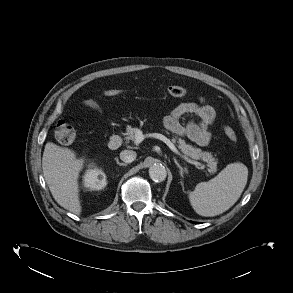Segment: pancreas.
Instances as JSON below:
<instances>
[{"label":"pancreas","instance_id":"obj_1","mask_svg":"<svg viewBox=\"0 0 293 293\" xmlns=\"http://www.w3.org/2000/svg\"><path fill=\"white\" fill-rule=\"evenodd\" d=\"M139 129L138 128H133L131 126H128L126 128V139L127 140H135L136 138V133ZM167 134H169L168 131H166ZM172 142L177 144V147L188 157L192 158V159H202L203 161L207 162L208 166H209V171L211 173L216 172L217 170V162L215 160V158H213V156L211 155V153L209 152H203L201 149L196 148L190 144H186L185 140L177 137V136H173L172 138Z\"/></svg>","mask_w":293,"mask_h":293}]
</instances>
